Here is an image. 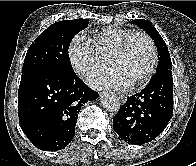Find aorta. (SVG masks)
<instances>
[{
  "label": "aorta",
  "instance_id": "obj_1",
  "mask_svg": "<svg viewBox=\"0 0 196 166\" xmlns=\"http://www.w3.org/2000/svg\"><path fill=\"white\" fill-rule=\"evenodd\" d=\"M102 104L109 112L112 113H116L120 109L119 99L112 92H107L102 96Z\"/></svg>",
  "mask_w": 196,
  "mask_h": 166
}]
</instances>
